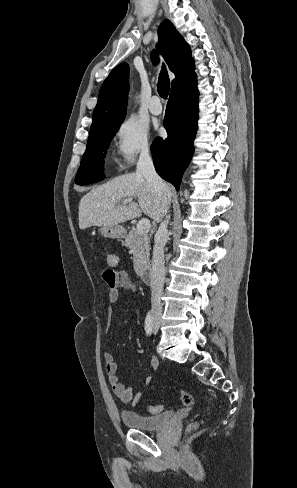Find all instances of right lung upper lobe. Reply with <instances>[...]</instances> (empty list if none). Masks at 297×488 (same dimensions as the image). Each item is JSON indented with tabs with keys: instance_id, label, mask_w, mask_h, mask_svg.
<instances>
[{
	"instance_id": "cb5924a9",
	"label": "right lung upper lobe",
	"mask_w": 297,
	"mask_h": 488,
	"mask_svg": "<svg viewBox=\"0 0 297 488\" xmlns=\"http://www.w3.org/2000/svg\"><path fill=\"white\" fill-rule=\"evenodd\" d=\"M159 43L157 52H161L169 69L175 74L171 89L188 81L196 74L190 47L171 21L165 20L158 29ZM157 52L152 54V61L158 63ZM129 67L122 63L114 68L101 86L98 102L93 112L90 133L103 126H120L126 115L129 92Z\"/></svg>"
}]
</instances>
